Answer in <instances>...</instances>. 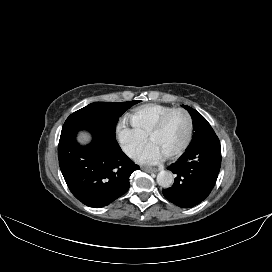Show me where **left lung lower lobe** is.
<instances>
[{"label": "left lung lower lobe", "mask_w": 272, "mask_h": 272, "mask_svg": "<svg viewBox=\"0 0 272 272\" xmlns=\"http://www.w3.org/2000/svg\"><path fill=\"white\" fill-rule=\"evenodd\" d=\"M221 166V147L217 136L188 147L168 167L176 178L171 188L163 190L167 200L182 208L201 203L213 189Z\"/></svg>", "instance_id": "0a47b994"}]
</instances>
